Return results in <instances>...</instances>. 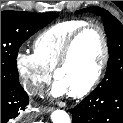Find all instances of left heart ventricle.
I'll return each mask as SVG.
<instances>
[{
    "instance_id": "obj_1",
    "label": "left heart ventricle",
    "mask_w": 123,
    "mask_h": 123,
    "mask_svg": "<svg viewBox=\"0 0 123 123\" xmlns=\"http://www.w3.org/2000/svg\"><path fill=\"white\" fill-rule=\"evenodd\" d=\"M102 56V41L96 29H89L74 44L67 64L57 80L69 93L84 88L95 75Z\"/></svg>"
}]
</instances>
